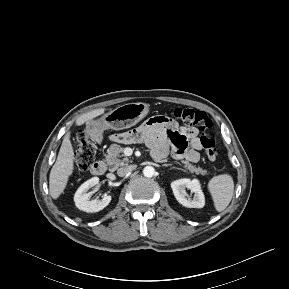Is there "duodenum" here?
Masks as SVG:
<instances>
[{"mask_svg": "<svg viewBox=\"0 0 289 289\" xmlns=\"http://www.w3.org/2000/svg\"><path fill=\"white\" fill-rule=\"evenodd\" d=\"M107 171V164L104 161H95L91 166L93 175H103Z\"/></svg>", "mask_w": 289, "mask_h": 289, "instance_id": "410a0bca", "label": "duodenum"}]
</instances>
